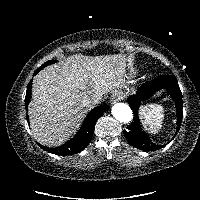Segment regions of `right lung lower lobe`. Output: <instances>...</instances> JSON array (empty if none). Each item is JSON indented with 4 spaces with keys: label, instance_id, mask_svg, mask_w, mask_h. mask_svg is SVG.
<instances>
[{
    "label": "right lung lower lobe",
    "instance_id": "98d812e1",
    "mask_svg": "<svg viewBox=\"0 0 200 200\" xmlns=\"http://www.w3.org/2000/svg\"><path fill=\"white\" fill-rule=\"evenodd\" d=\"M36 75V74H34ZM31 87H32V80H30L28 86H27V92L25 96V108L27 110L28 104L31 99ZM108 105H101L96 108H94L85 119L80 131L76 134L74 138L63 144L62 146L56 147V148H48L44 147L40 144H38L42 149L53 153L57 155H72L76 154L83 149L87 147V145L90 143L94 128L97 120L100 118V116L103 114L104 111L108 110ZM26 118L29 122L28 115H26Z\"/></svg>",
    "mask_w": 200,
    "mask_h": 200
}]
</instances>
